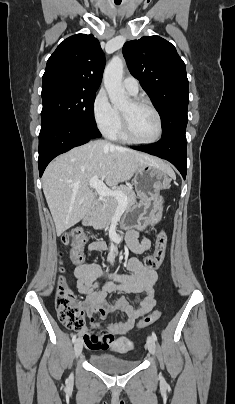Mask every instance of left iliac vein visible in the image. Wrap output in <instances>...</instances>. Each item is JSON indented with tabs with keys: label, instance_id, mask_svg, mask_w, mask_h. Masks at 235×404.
<instances>
[{
	"label": "left iliac vein",
	"instance_id": "1",
	"mask_svg": "<svg viewBox=\"0 0 235 404\" xmlns=\"http://www.w3.org/2000/svg\"><path fill=\"white\" fill-rule=\"evenodd\" d=\"M147 348L149 350V352L154 355L155 351H156V344H155V340L153 339V337L149 336L147 338Z\"/></svg>",
	"mask_w": 235,
	"mask_h": 404
}]
</instances>
